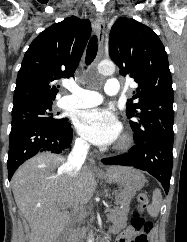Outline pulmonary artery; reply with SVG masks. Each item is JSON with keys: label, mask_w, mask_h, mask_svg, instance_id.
Here are the masks:
<instances>
[{"label": "pulmonary artery", "mask_w": 187, "mask_h": 242, "mask_svg": "<svg viewBox=\"0 0 187 242\" xmlns=\"http://www.w3.org/2000/svg\"><path fill=\"white\" fill-rule=\"evenodd\" d=\"M67 89L71 94L62 98L61 106L64 108H86L102 102L101 95L96 91L81 88L76 84L68 85ZM104 91L110 96L117 95L120 91L119 81L115 78L108 79L105 83Z\"/></svg>", "instance_id": "obj_1"}]
</instances>
